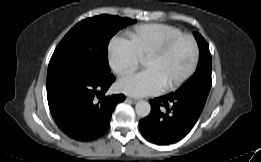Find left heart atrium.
<instances>
[{
	"mask_svg": "<svg viewBox=\"0 0 261 162\" xmlns=\"http://www.w3.org/2000/svg\"><path fill=\"white\" fill-rule=\"evenodd\" d=\"M118 89L130 96L143 97L160 93L164 84L152 69L124 76L118 80Z\"/></svg>",
	"mask_w": 261,
	"mask_h": 162,
	"instance_id": "obj_1",
	"label": "left heart atrium"
}]
</instances>
